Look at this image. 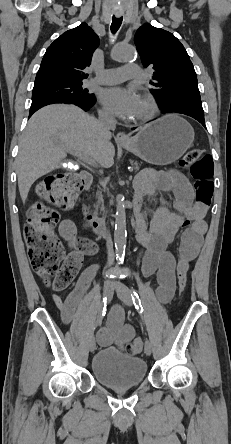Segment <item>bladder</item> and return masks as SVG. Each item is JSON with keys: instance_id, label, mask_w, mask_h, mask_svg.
Here are the masks:
<instances>
[{"instance_id": "31cf9c89", "label": "bladder", "mask_w": 231, "mask_h": 444, "mask_svg": "<svg viewBox=\"0 0 231 444\" xmlns=\"http://www.w3.org/2000/svg\"><path fill=\"white\" fill-rule=\"evenodd\" d=\"M91 372L100 384L122 389L142 383L147 365L142 359L130 357L119 350L102 348L92 358Z\"/></svg>"}]
</instances>
